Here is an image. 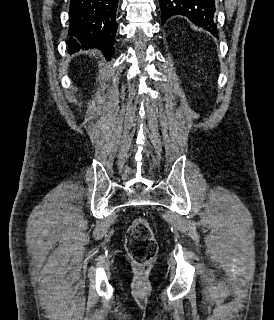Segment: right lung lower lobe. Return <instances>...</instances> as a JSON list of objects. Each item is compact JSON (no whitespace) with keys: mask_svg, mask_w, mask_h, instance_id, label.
<instances>
[{"mask_svg":"<svg viewBox=\"0 0 274 320\" xmlns=\"http://www.w3.org/2000/svg\"><path fill=\"white\" fill-rule=\"evenodd\" d=\"M118 0H70L69 52L97 47L114 54Z\"/></svg>","mask_w":274,"mask_h":320,"instance_id":"obj_1","label":"right lung lower lobe"}]
</instances>
